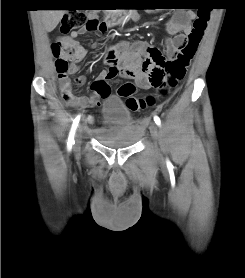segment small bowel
Listing matches in <instances>:
<instances>
[{
	"instance_id": "1",
	"label": "small bowel",
	"mask_w": 245,
	"mask_h": 278,
	"mask_svg": "<svg viewBox=\"0 0 245 278\" xmlns=\"http://www.w3.org/2000/svg\"><path fill=\"white\" fill-rule=\"evenodd\" d=\"M193 17V13L180 12L166 22L165 30L171 37L165 39V49L170 58L180 54L183 46L187 43L188 35L192 31L191 19ZM135 18L138 19V16L135 15ZM97 31L102 34L105 33L107 25L101 22ZM83 33L84 31L73 32L60 38L62 42L81 49V54L71 61L67 69V77L59 81L62 92L68 91L71 93V83L68 75L76 74L79 71L78 64L85 57L84 48L76 40L77 36ZM99 45L100 43L95 40L91 47L97 48ZM159 55H161V51L149 42H137L133 45L123 42L112 46L104 56L105 63L110 66L109 69L101 71L93 83L91 94L93 105H98L101 99L109 93V80L112 78H133L136 85L142 89L155 86L146 77L153 69ZM143 57H145L144 61ZM78 80L83 82L84 77L80 76ZM95 132L97 133V129H95Z\"/></svg>"
}]
</instances>
